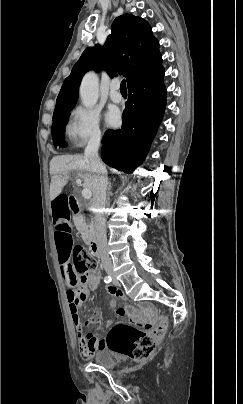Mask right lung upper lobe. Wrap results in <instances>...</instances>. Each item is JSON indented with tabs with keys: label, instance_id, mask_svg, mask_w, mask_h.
Segmentation results:
<instances>
[{
	"label": "right lung upper lobe",
	"instance_id": "1",
	"mask_svg": "<svg viewBox=\"0 0 243 404\" xmlns=\"http://www.w3.org/2000/svg\"><path fill=\"white\" fill-rule=\"evenodd\" d=\"M161 63L159 42L148 22L131 14L119 16L104 48L96 45L82 53L61 87L54 113L75 106L80 81L88 70L104 68L111 77L119 72L130 85L154 72Z\"/></svg>",
	"mask_w": 243,
	"mask_h": 404
}]
</instances>
